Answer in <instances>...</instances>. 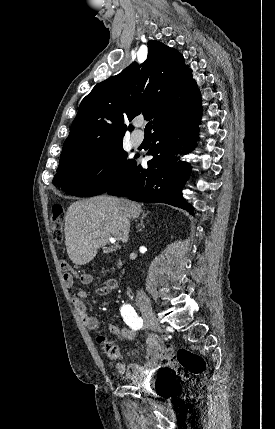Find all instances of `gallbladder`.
I'll return each instance as SVG.
<instances>
[{"mask_svg": "<svg viewBox=\"0 0 275 429\" xmlns=\"http://www.w3.org/2000/svg\"><path fill=\"white\" fill-rule=\"evenodd\" d=\"M110 252H112L111 248H104V250H103V253H105V254H108Z\"/></svg>", "mask_w": 275, "mask_h": 429, "instance_id": "gallbladder-1", "label": "gallbladder"}]
</instances>
